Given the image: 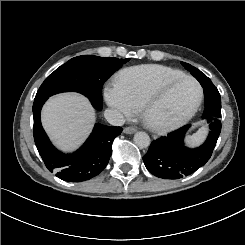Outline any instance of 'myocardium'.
Masks as SVG:
<instances>
[{
    "mask_svg": "<svg viewBox=\"0 0 245 245\" xmlns=\"http://www.w3.org/2000/svg\"><path fill=\"white\" fill-rule=\"evenodd\" d=\"M187 80L192 82L197 89V96L192 107L182 116L177 118L156 119L153 116L152 96L162 87L172 85L178 81ZM203 98V89L200 83L193 77L181 75L178 77L163 78L154 81L143 93L140 100V109L146 125L155 131H167L185 124L197 111Z\"/></svg>",
    "mask_w": 245,
    "mask_h": 245,
    "instance_id": "1",
    "label": "myocardium"
}]
</instances>
